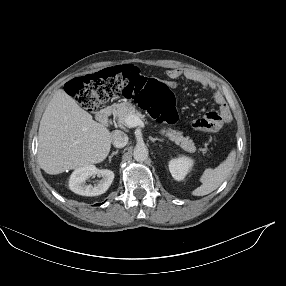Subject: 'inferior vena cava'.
<instances>
[{
	"mask_svg": "<svg viewBox=\"0 0 286 286\" xmlns=\"http://www.w3.org/2000/svg\"><path fill=\"white\" fill-rule=\"evenodd\" d=\"M112 143L116 148H123L128 143V136L120 130H115L112 133Z\"/></svg>",
	"mask_w": 286,
	"mask_h": 286,
	"instance_id": "1",
	"label": "inferior vena cava"
}]
</instances>
